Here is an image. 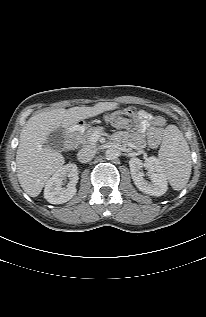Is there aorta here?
Instances as JSON below:
<instances>
[{"label":"aorta","mask_w":206,"mask_h":317,"mask_svg":"<svg viewBox=\"0 0 206 317\" xmlns=\"http://www.w3.org/2000/svg\"><path fill=\"white\" fill-rule=\"evenodd\" d=\"M106 159L115 160L119 156V152L115 148H109L105 152Z\"/></svg>","instance_id":"obj_1"}]
</instances>
